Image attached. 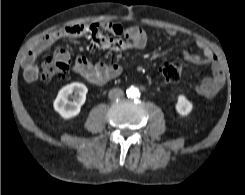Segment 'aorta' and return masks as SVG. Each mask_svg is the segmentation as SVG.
<instances>
[{"label":"aorta","instance_id":"1","mask_svg":"<svg viewBox=\"0 0 245 195\" xmlns=\"http://www.w3.org/2000/svg\"><path fill=\"white\" fill-rule=\"evenodd\" d=\"M127 96L129 98H137L138 96H140L139 89L133 86L130 87L129 89H127Z\"/></svg>","mask_w":245,"mask_h":195}]
</instances>
